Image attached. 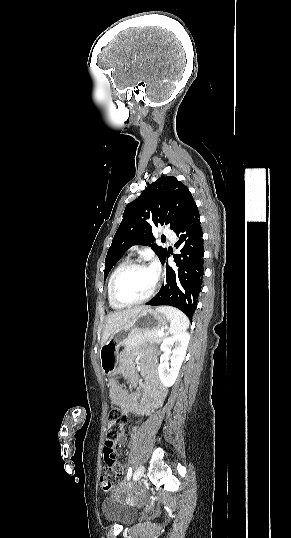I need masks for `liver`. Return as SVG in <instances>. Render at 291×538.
<instances>
[{
	"instance_id": "1",
	"label": "liver",
	"mask_w": 291,
	"mask_h": 538,
	"mask_svg": "<svg viewBox=\"0 0 291 538\" xmlns=\"http://www.w3.org/2000/svg\"><path fill=\"white\" fill-rule=\"evenodd\" d=\"M148 308V306H139L126 310H119L111 312L107 315L105 324L103 327V334L101 345H103L108 338L113 335L120 328L129 325L133 319L142 311Z\"/></svg>"
}]
</instances>
